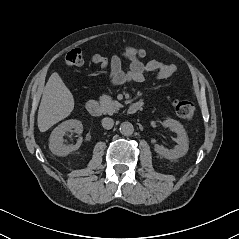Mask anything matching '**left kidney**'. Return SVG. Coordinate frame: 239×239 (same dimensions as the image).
Masks as SVG:
<instances>
[{
    "instance_id": "left-kidney-1",
    "label": "left kidney",
    "mask_w": 239,
    "mask_h": 239,
    "mask_svg": "<svg viewBox=\"0 0 239 239\" xmlns=\"http://www.w3.org/2000/svg\"><path fill=\"white\" fill-rule=\"evenodd\" d=\"M162 125L177 134L175 140L177 145L173 149L169 150L159 144H155L154 150L162 157L169 160H175L183 157L187 153L189 148L188 136L184 127L178 121L171 118L164 120L162 122Z\"/></svg>"
}]
</instances>
